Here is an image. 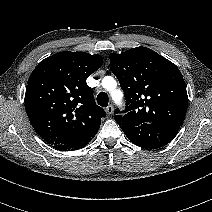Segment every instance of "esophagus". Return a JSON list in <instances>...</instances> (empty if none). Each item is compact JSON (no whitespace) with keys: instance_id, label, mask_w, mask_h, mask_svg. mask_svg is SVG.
<instances>
[{"instance_id":"esophagus-1","label":"esophagus","mask_w":212,"mask_h":212,"mask_svg":"<svg viewBox=\"0 0 212 212\" xmlns=\"http://www.w3.org/2000/svg\"><path fill=\"white\" fill-rule=\"evenodd\" d=\"M106 112L108 115H111L113 113V106L112 105H108L106 107Z\"/></svg>"}]
</instances>
